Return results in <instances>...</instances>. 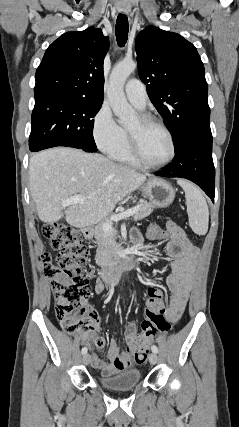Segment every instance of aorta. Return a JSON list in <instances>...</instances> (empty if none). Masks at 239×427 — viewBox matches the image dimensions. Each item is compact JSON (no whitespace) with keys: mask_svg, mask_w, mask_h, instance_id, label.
Listing matches in <instances>:
<instances>
[{"mask_svg":"<svg viewBox=\"0 0 239 427\" xmlns=\"http://www.w3.org/2000/svg\"><path fill=\"white\" fill-rule=\"evenodd\" d=\"M135 68L136 63L134 61H122L115 65L110 74L107 96L114 114L122 125L134 120L136 115L134 108L127 102L124 93L126 79Z\"/></svg>","mask_w":239,"mask_h":427,"instance_id":"762f6f07","label":"aorta"}]
</instances>
